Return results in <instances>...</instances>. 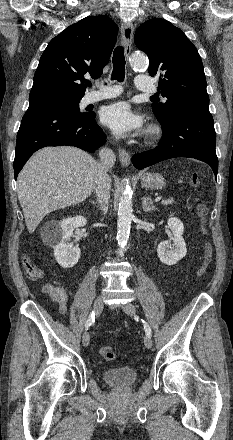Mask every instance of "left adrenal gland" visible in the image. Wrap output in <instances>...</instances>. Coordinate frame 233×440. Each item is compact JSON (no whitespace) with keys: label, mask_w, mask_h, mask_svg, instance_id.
Here are the masks:
<instances>
[{"label":"left adrenal gland","mask_w":233,"mask_h":440,"mask_svg":"<svg viewBox=\"0 0 233 440\" xmlns=\"http://www.w3.org/2000/svg\"><path fill=\"white\" fill-rule=\"evenodd\" d=\"M142 208L144 212L156 210L150 197L144 196L142 199Z\"/></svg>","instance_id":"left-adrenal-gland-1"}]
</instances>
